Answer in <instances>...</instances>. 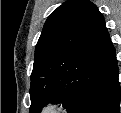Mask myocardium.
Masks as SVG:
<instances>
[{"mask_svg":"<svg viewBox=\"0 0 121 113\" xmlns=\"http://www.w3.org/2000/svg\"><path fill=\"white\" fill-rule=\"evenodd\" d=\"M60 110V107L54 103H47L41 109L42 113H56Z\"/></svg>","mask_w":121,"mask_h":113,"instance_id":"myocardium-1","label":"myocardium"}]
</instances>
